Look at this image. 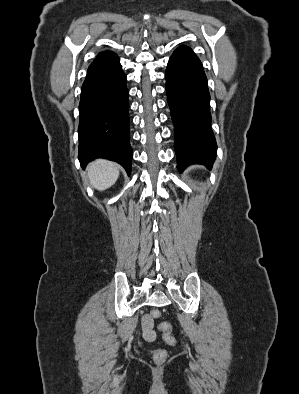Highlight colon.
<instances>
[{
  "label": "colon",
  "mask_w": 299,
  "mask_h": 394,
  "mask_svg": "<svg viewBox=\"0 0 299 394\" xmlns=\"http://www.w3.org/2000/svg\"><path fill=\"white\" fill-rule=\"evenodd\" d=\"M151 316L157 319L161 316V312L159 310H153ZM159 327L163 331L164 341L171 346L176 345V339L171 334V325L167 322H163ZM151 355L153 361L157 364H161L167 359V352L164 349H155L151 352Z\"/></svg>",
  "instance_id": "1"
}]
</instances>
